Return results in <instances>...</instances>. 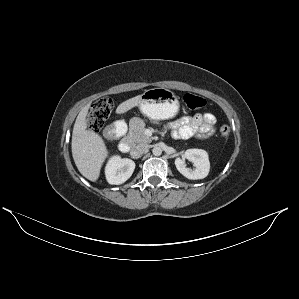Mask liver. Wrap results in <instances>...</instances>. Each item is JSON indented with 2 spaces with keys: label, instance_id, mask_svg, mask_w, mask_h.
<instances>
[{
  "label": "liver",
  "instance_id": "1",
  "mask_svg": "<svg viewBox=\"0 0 299 299\" xmlns=\"http://www.w3.org/2000/svg\"><path fill=\"white\" fill-rule=\"evenodd\" d=\"M142 95L130 98L121 103L116 112L125 113L137 106ZM90 105H86L78 114L72 133V156L79 172L88 180L95 182L100 175L101 167L108 157V150L102 137L87 130L86 116Z\"/></svg>",
  "mask_w": 299,
  "mask_h": 299
}]
</instances>
